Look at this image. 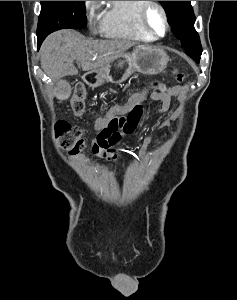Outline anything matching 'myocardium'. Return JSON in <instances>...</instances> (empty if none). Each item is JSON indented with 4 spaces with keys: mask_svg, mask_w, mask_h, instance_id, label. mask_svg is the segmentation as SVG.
Masks as SVG:
<instances>
[{
    "mask_svg": "<svg viewBox=\"0 0 237 300\" xmlns=\"http://www.w3.org/2000/svg\"><path fill=\"white\" fill-rule=\"evenodd\" d=\"M152 9L158 10L161 15L164 24V31L162 33L157 32L149 22V13ZM140 17L145 29L154 37L162 38L166 36L170 30L167 11L159 1H145L140 10Z\"/></svg>",
    "mask_w": 237,
    "mask_h": 300,
    "instance_id": "obj_1",
    "label": "myocardium"
}]
</instances>
